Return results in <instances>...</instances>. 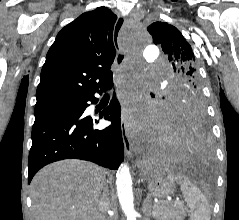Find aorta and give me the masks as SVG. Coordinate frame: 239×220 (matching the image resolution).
Returning <instances> with one entry per match:
<instances>
[{
    "label": "aorta",
    "instance_id": "1",
    "mask_svg": "<svg viewBox=\"0 0 239 220\" xmlns=\"http://www.w3.org/2000/svg\"><path fill=\"white\" fill-rule=\"evenodd\" d=\"M123 40H141L139 33H124ZM124 46H142V45H124ZM146 57L143 61H158L159 52L155 48H145ZM116 187L120 206L127 220H137V212L134 208V197L132 192V179L127 164L121 165L116 174Z\"/></svg>",
    "mask_w": 239,
    "mask_h": 220
}]
</instances>
